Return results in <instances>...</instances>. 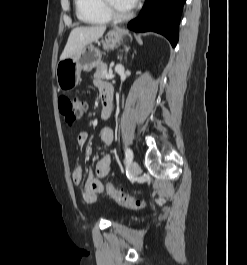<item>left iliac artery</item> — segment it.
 I'll list each match as a JSON object with an SVG mask.
<instances>
[{
	"instance_id": "obj_1",
	"label": "left iliac artery",
	"mask_w": 247,
	"mask_h": 265,
	"mask_svg": "<svg viewBox=\"0 0 247 265\" xmlns=\"http://www.w3.org/2000/svg\"><path fill=\"white\" fill-rule=\"evenodd\" d=\"M132 159H133L132 150L129 148H126V150H125V163L130 164L132 162Z\"/></svg>"
}]
</instances>
